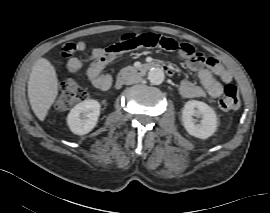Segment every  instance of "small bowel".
Segmentation results:
<instances>
[{
	"label": "small bowel",
	"instance_id": "obj_1",
	"mask_svg": "<svg viewBox=\"0 0 270 213\" xmlns=\"http://www.w3.org/2000/svg\"><path fill=\"white\" fill-rule=\"evenodd\" d=\"M87 49L85 42L67 43L62 47L61 54L67 58V70L69 73L78 74L84 65H88L86 76L92 85L101 91L108 90L112 85V75L105 71V66L114 60L117 53L107 52L101 47L93 48L85 58L75 56L76 52H84ZM192 51L197 50L191 46ZM187 67L197 74L200 85L189 79H183L179 84V91L185 98L208 97L215 99L223 92V85L233 80L232 73L222 66L217 60L212 59L208 65L197 63L191 56L183 53ZM174 72L172 65H167ZM218 77V80L214 76Z\"/></svg>",
	"mask_w": 270,
	"mask_h": 213
}]
</instances>
